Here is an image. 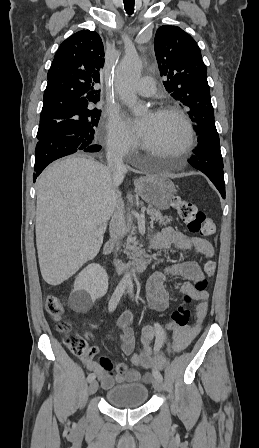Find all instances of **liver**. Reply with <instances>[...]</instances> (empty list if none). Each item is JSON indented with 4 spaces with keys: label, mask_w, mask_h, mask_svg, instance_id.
<instances>
[{
    "label": "liver",
    "mask_w": 259,
    "mask_h": 448,
    "mask_svg": "<svg viewBox=\"0 0 259 448\" xmlns=\"http://www.w3.org/2000/svg\"><path fill=\"white\" fill-rule=\"evenodd\" d=\"M118 174L90 156H66L37 178L36 246L40 272L59 286L94 260L103 244L97 226L116 210Z\"/></svg>",
    "instance_id": "1"
}]
</instances>
